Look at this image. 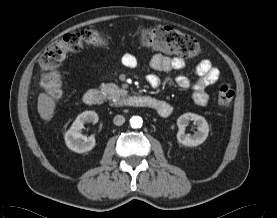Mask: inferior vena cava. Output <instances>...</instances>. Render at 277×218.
Segmentation results:
<instances>
[{"mask_svg":"<svg viewBox=\"0 0 277 218\" xmlns=\"http://www.w3.org/2000/svg\"><path fill=\"white\" fill-rule=\"evenodd\" d=\"M113 122L116 126H121L125 122V118L122 115H116L113 119Z\"/></svg>","mask_w":277,"mask_h":218,"instance_id":"1","label":"inferior vena cava"}]
</instances>
